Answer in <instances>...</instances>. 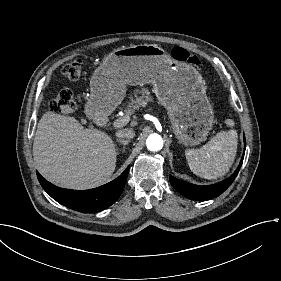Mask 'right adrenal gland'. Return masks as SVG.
<instances>
[{
  "label": "right adrenal gland",
  "instance_id": "obj_1",
  "mask_svg": "<svg viewBox=\"0 0 281 281\" xmlns=\"http://www.w3.org/2000/svg\"><path fill=\"white\" fill-rule=\"evenodd\" d=\"M117 142H119L121 145H123V152H125V146L128 145L129 141L128 140H122V139H117ZM115 150H116V155H118V147L115 146Z\"/></svg>",
  "mask_w": 281,
  "mask_h": 281
}]
</instances>
